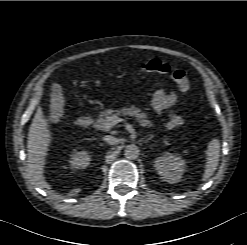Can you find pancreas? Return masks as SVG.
Segmentation results:
<instances>
[{
	"mask_svg": "<svg viewBox=\"0 0 247 245\" xmlns=\"http://www.w3.org/2000/svg\"><path fill=\"white\" fill-rule=\"evenodd\" d=\"M121 115H129L134 117L136 121L143 127L150 128L154 126L153 123L147 118V114L145 112H141L140 109L132 105L130 107H123L119 110L107 109L102 111L98 115L94 127L102 131H109L110 127L107 126L108 118L112 116L119 117Z\"/></svg>",
	"mask_w": 247,
	"mask_h": 245,
	"instance_id": "cf45deb5",
	"label": "pancreas"
}]
</instances>
